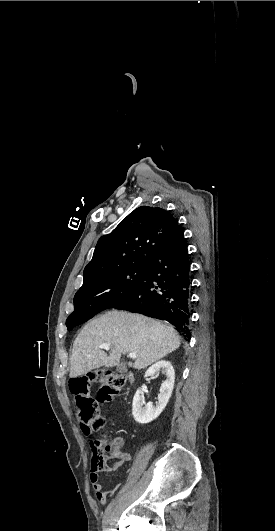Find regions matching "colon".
I'll list each match as a JSON object with an SVG mask.
<instances>
[{
  "mask_svg": "<svg viewBox=\"0 0 275 531\" xmlns=\"http://www.w3.org/2000/svg\"><path fill=\"white\" fill-rule=\"evenodd\" d=\"M89 376H72V399H77L75 408L77 420L91 425L95 432L99 422L104 420V415L99 412L94 395H92V382L100 385L97 398L103 402L111 400L117 395L125 385L122 375L108 369L97 372H89ZM107 433L105 429L104 435ZM103 451L99 459L98 469L113 470L119 466L118 457L120 455V440L105 437L103 440Z\"/></svg>",
  "mask_w": 275,
  "mask_h": 531,
  "instance_id": "obj_1",
  "label": "colon"
}]
</instances>
